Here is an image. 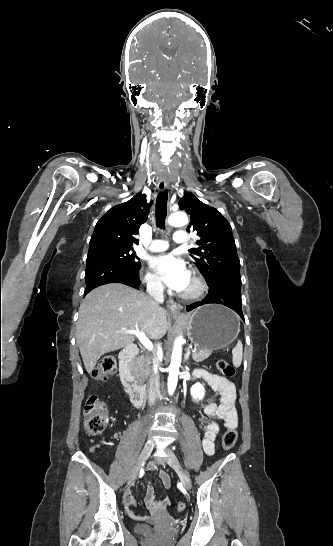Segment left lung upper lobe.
<instances>
[{"instance_id":"5c2ea615","label":"left lung upper lobe","mask_w":333,"mask_h":546,"mask_svg":"<svg viewBox=\"0 0 333 546\" xmlns=\"http://www.w3.org/2000/svg\"><path fill=\"white\" fill-rule=\"evenodd\" d=\"M179 207L191 217L187 231H197L198 248L190 249V256L204 276L207 284L228 273H240V261L230 223L221 213L187 194Z\"/></svg>"}]
</instances>
